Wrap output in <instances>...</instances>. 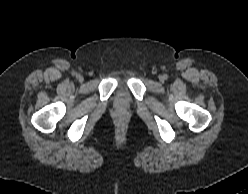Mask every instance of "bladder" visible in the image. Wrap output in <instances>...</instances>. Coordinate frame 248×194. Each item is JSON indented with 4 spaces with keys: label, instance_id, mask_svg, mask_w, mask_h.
Segmentation results:
<instances>
[{
    "label": "bladder",
    "instance_id": "obj_1",
    "mask_svg": "<svg viewBox=\"0 0 248 194\" xmlns=\"http://www.w3.org/2000/svg\"><path fill=\"white\" fill-rule=\"evenodd\" d=\"M117 96L119 100H125L128 97V93L124 89H121Z\"/></svg>",
    "mask_w": 248,
    "mask_h": 194
}]
</instances>
